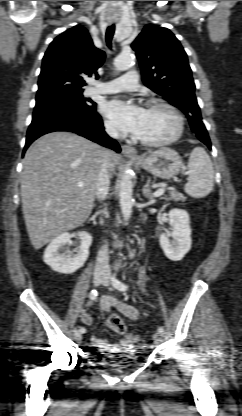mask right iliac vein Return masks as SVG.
I'll return each instance as SVG.
<instances>
[{"mask_svg": "<svg viewBox=\"0 0 242 416\" xmlns=\"http://www.w3.org/2000/svg\"><path fill=\"white\" fill-rule=\"evenodd\" d=\"M105 278V273L102 269H96L93 274V282L95 285H99ZM74 338L77 342H81L83 339L82 333L79 330H75Z\"/></svg>", "mask_w": 242, "mask_h": 416, "instance_id": "right-iliac-vein-1", "label": "right iliac vein"}]
</instances>
